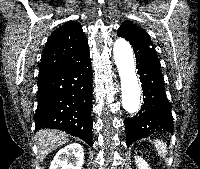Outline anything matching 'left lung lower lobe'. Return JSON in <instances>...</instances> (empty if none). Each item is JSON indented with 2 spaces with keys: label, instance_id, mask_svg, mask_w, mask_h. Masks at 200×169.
Listing matches in <instances>:
<instances>
[{
  "label": "left lung lower lobe",
  "instance_id": "0a47b994",
  "mask_svg": "<svg viewBox=\"0 0 200 169\" xmlns=\"http://www.w3.org/2000/svg\"><path fill=\"white\" fill-rule=\"evenodd\" d=\"M142 83L144 104L139 113L125 120L127 146L154 132L173 133L171 105L166 97L160 67L147 60H136Z\"/></svg>",
  "mask_w": 200,
  "mask_h": 169
}]
</instances>
